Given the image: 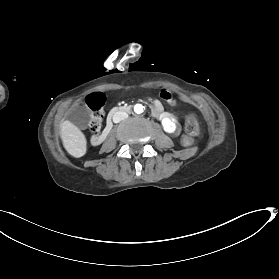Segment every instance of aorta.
Instances as JSON below:
<instances>
[{
  "mask_svg": "<svg viewBox=\"0 0 279 279\" xmlns=\"http://www.w3.org/2000/svg\"><path fill=\"white\" fill-rule=\"evenodd\" d=\"M134 111H135V113H137V114H141V113L144 111V106L141 105V104H136V105L134 106Z\"/></svg>",
  "mask_w": 279,
  "mask_h": 279,
  "instance_id": "1",
  "label": "aorta"
}]
</instances>
